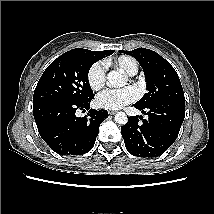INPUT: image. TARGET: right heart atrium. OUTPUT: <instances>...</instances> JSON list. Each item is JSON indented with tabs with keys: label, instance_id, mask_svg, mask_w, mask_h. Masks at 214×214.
I'll return each instance as SVG.
<instances>
[{
	"label": "right heart atrium",
	"instance_id": "obj_1",
	"mask_svg": "<svg viewBox=\"0 0 214 214\" xmlns=\"http://www.w3.org/2000/svg\"><path fill=\"white\" fill-rule=\"evenodd\" d=\"M106 71L107 67L104 61H97L90 66L87 80L92 90L99 91L105 86Z\"/></svg>",
	"mask_w": 214,
	"mask_h": 214
}]
</instances>
